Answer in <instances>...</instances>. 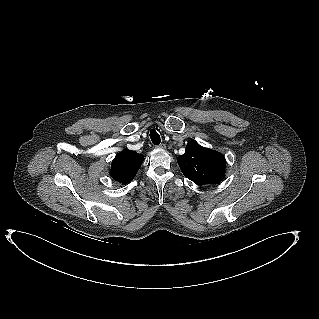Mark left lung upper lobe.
Instances as JSON below:
<instances>
[{"mask_svg": "<svg viewBox=\"0 0 319 319\" xmlns=\"http://www.w3.org/2000/svg\"><path fill=\"white\" fill-rule=\"evenodd\" d=\"M177 162L182 173L197 185L217 184L224 178V156L200 146L194 140L188 143L185 153L178 157Z\"/></svg>", "mask_w": 319, "mask_h": 319, "instance_id": "1", "label": "left lung upper lobe"}]
</instances>
